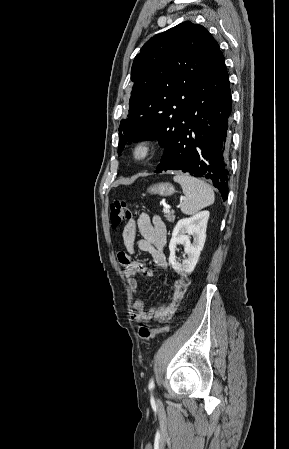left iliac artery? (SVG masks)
<instances>
[{
	"mask_svg": "<svg viewBox=\"0 0 289 449\" xmlns=\"http://www.w3.org/2000/svg\"><path fill=\"white\" fill-rule=\"evenodd\" d=\"M148 387H149L150 390L154 389V381H153V379L150 380Z\"/></svg>",
	"mask_w": 289,
	"mask_h": 449,
	"instance_id": "obj_1",
	"label": "left iliac artery"
}]
</instances>
